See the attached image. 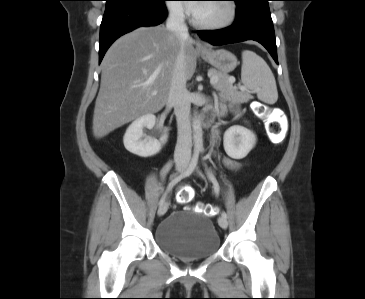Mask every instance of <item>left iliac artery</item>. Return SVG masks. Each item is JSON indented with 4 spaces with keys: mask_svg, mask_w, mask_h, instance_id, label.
Returning a JSON list of instances; mask_svg holds the SVG:
<instances>
[{
    "mask_svg": "<svg viewBox=\"0 0 365 299\" xmlns=\"http://www.w3.org/2000/svg\"><path fill=\"white\" fill-rule=\"evenodd\" d=\"M207 175L210 179V181L213 183V187H214V191L216 194L219 193L220 187L218 184V181L216 180L215 176L212 174V172L210 170L207 169ZM221 215L225 218H227V214L225 211H222Z\"/></svg>",
    "mask_w": 365,
    "mask_h": 299,
    "instance_id": "left-iliac-artery-1",
    "label": "left iliac artery"
}]
</instances>
